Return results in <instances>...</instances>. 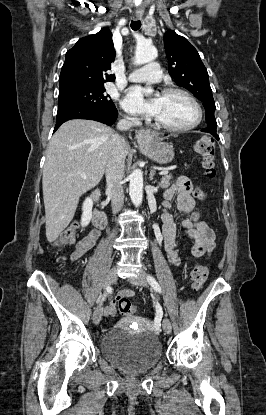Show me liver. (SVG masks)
I'll return each instance as SVG.
<instances>
[{"instance_id":"1","label":"liver","mask_w":266,"mask_h":415,"mask_svg":"<svg viewBox=\"0 0 266 415\" xmlns=\"http://www.w3.org/2000/svg\"><path fill=\"white\" fill-rule=\"evenodd\" d=\"M114 134L102 123L73 119L61 125L53 135L42 177L49 242L55 241L72 221L80 196L102 179ZM128 151L126 146V154Z\"/></svg>"}]
</instances>
